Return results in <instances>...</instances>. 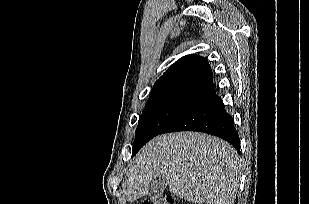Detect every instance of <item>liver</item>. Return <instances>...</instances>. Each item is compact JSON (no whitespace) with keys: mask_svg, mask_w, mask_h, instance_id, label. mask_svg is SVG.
Instances as JSON below:
<instances>
[{"mask_svg":"<svg viewBox=\"0 0 309 204\" xmlns=\"http://www.w3.org/2000/svg\"><path fill=\"white\" fill-rule=\"evenodd\" d=\"M162 178L169 191L197 204H233L241 177V160L227 142L198 132L155 137L130 163L122 183L129 201L148 194Z\"/></svg>","mask_w":309,"mask_h":204,"instance_id":"6515ba94","label":"liver"}]
</instances>
